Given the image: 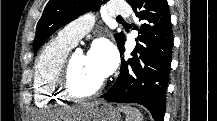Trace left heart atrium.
I'll return each instance as SVG.
<instances>
[{
	"label": "left heart atrium",
	"instance_id": "1",
	"mask_svg": "<svg viewBox=\"0 0 217 121\" xmlns=\"http://www.w3.org/2000/svg\"><path fill=\"white\" fill-rule=\"evenodd\" d=\"M86 57L102 79L107 77L117 64L115 49L107 42L94 44Z\"/></svg>",
	"mask_w": 217,
	"mask_h": 121
}]
</instances>
